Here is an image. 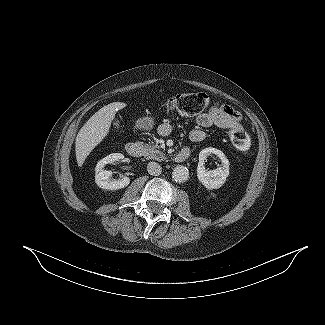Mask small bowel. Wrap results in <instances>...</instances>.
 Here are the masks:
<instances>
[{"label":"small bowel","instance_id":"small-bowel-1","mask_svg":"<svg viewBox=\"0 0 325 325\" xmlns=\"http://www.w3.org/2000/svg\"><path fill=\"white\" fill-rule=\"evenodd\" d=\"M242 116L240 112L228 105H219L211 107L206 113L199 115L195 122L199 128H195L190 132V140L194 143L203 141L206 133L202 128L218 127L224 129H232L235 126L242 127ZM243 128V127H242ZM172 130L170 123H163L159 127L161 135H168Z\"/></svg>","mask_w":325,"mask_h":325}]
</instances>
